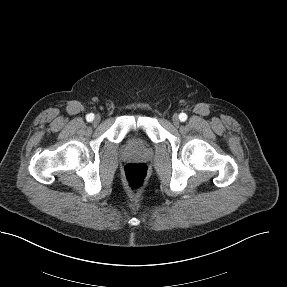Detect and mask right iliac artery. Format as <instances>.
Wrapping results in <instances>:
<instances>
[{"instance_id":"1","label":"right iliac artery","mask_w":287,"mask_h":287,"mask_svg":"<svg viewBox=\"0 0 287 287\" xmlns=\"http://www.w3.org/2000/svg\"><path fill=\"white\" fill-rule=\"evenodd\" d=\"M93 119H94V114H88V115L86 116V120H87L88 122L93 121Z\"/></svg>"}]
</instances>
